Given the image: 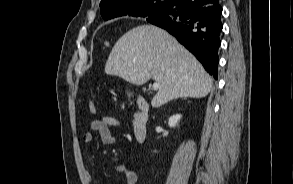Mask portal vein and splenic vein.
I'll return each instance as SVG.
<instances>
[{
    "label": "portal vein and splenic vein",
    "mask_w": 293,
    "mask_h": 184,
    "mask_svg": "<svg viewBox=\"0 0 293 184\" xmlns=\"http://www.w3.org/2000/svg\"><path fill=\"white\" fill-rule=\"evenodd\" d=\"M159 87H160V85H159V83H157V82H155V83L152 85V89H153L154 91L158 90Z\"/></svg>",
    "instance_id": "portal-vein-and-splenic-vein-1"
}]
</instances>
